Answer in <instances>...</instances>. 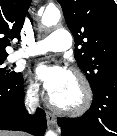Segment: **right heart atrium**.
<instances>
[{
	"label": "right heart atrium",
	"mask_w": 117,
	"mask_h": 136,
	"mask_svg": "<svg viewBox=\"0 0 117 136\" xmlns=\"http://www.w3.org/2000/svg\"><path fill=\"white\" fill-rule=\"evenodd\" d=\"M38 92H39V86L37 83L30 81L27 86H26V90H25V95L26 98L29 101H33L37 98L38 96Z\"/></svg>",
	"instance_id": "right-heart-atrium-1"
}]
</instances>
